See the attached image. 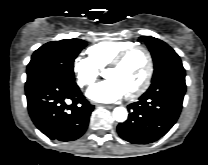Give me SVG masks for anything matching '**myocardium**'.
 I'll return each mask as SVG.
<instances>
[{
  "mask_svg": "<svg viewBox=\"0 0 208 165\" xmlns=\"http://www.w3.org/2000/svg\"><path fill=\"white\" fill-rule=\"evenodd\" d=\"M135 51H142L146 55L147 70H146V74L144 76V79L139 84V86H137L132 91L126 93V97L129 98V99L140 96L142 93H144L147 90V88L149 87V85L151 83V79H152L153 72H154V61H153V57H152V54H151L150 50L147 47L143 46V45L130 46V47L124 49L123 51H121L119 54H117L106 65V69L117 68L127 59V57L129 55H131Z\"/></svg>",
  "mask_w": 208,
  "mask_h": 165,
  "instance_id": "1",
  "label": "myocardium"
}]
</instances>
